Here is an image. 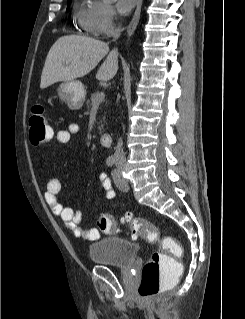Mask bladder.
<instances>
[{"instance_id":"1","label":"bladder","mask_w":245,"mask_h":319,"mask_svg":"<svg viewBox=\"0 0 245 319\" xmlns=\"http://www.w3.org/2000/svg\"><path fill=\"white\" fill-rule=\"evenodd\" d=\"M88 251L91 260L96 264L127 268L135 260L138 245L124 238L106 237L94 240Z\"/></svg>"}]
</instances>
